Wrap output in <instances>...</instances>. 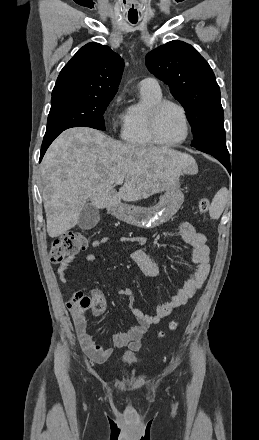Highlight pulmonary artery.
I'll use <instances>...</instances> for the list:
<instances>
[{
    "instance_id": "pulmonary-artery-1",
    "label": "pulmonary artery",
    "mask_w": 259,
    "mask_h": 440,
    "mask_svg": "<svg viewBox=\"0 0 259 440\" xmlns=\"http://www.w3.org/2000/svg\"><path fill=\"white\" fill-rule=\"evenodd\" d=\"M139 89L141 92H147L151 94H160L161 88L158 81L154 78L142 79L139 84Z\"/></svg>"
}]
</instances>
